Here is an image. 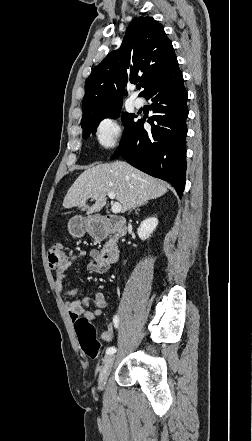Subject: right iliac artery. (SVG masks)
<instances>
[{
  "mask_svg": "<svg viewBox=\"0 0 252 441\" xmlns=\"http://www.w3.org/2000/svg\"><path fill=\"white\" fill-rule=\"evenodd\" d=\"M113 322L115 324V327L117 328L119 325V318L117 316H114ZM116 352V348L115 347H109L106 350V354H114Z\"/></svg>",
  "mask_w": 252,
  "mask_h": 441,
  "instance_id": "82829eb1",
  "label": "right iliac artery"
}]
</instances>
